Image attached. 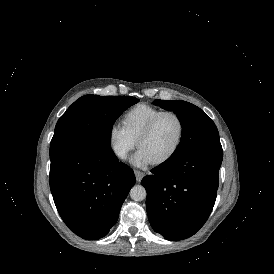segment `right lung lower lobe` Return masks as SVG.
I'll use <instances>...</instances> for the list:
<instances>
[{"instance_id": "right-lung-lower-lobe-1", "label": "right lung lower lobe", "mask_w": 274, "mask_h": 274, "mask_svg": "<svg viewBox=\"0 0 274 274\" xmlns=\"http://www.w3.org/2000/svg\"><path fill=\"white\" fill-rule=\"evenodd\" d=\"M134 184L133 170L118 161L111 147H83L51 160L56 208L66 225L87 240L108 234Z\"/></svg>"}]
</instances>
